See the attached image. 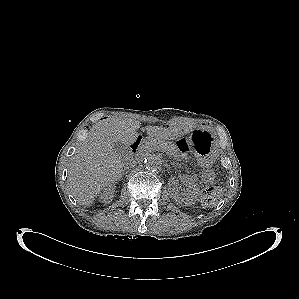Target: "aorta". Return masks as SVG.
Returning <instances> with one entry per match:
<instances>
[{
  "mask_svg": "<svg viewBox=\"0 0 299 299\" xmlns=\"http://www.w3.org/2000/svg\"><path fill=\"white\" fill-rule=\"evenodd\" d=\"M144 166L147 170L155 171L161 168L162 160L158 156L149 155L144 161Z\"/></svg>",
  "mask_w": 299,
  "mask_h": 299,
  "instance_id": "aorta-1",
  "label": "aorta"
}]
</instances>
